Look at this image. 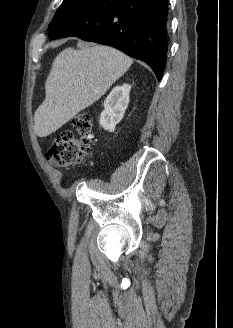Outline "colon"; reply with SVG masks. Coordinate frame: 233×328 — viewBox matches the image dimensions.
Masks as SVG:
<instances>
[{"mask_svg":"<svg viewBox=\"0 0 233 328\" xmlns=\"http://www.w3.org/2000/svg\"><path fill=\"white\" fill-rule=\"evenodd\" d=\"M71 125L73 131H62L52 140L46 152L50 164L56 167H68L89 157L95 146L93 122L88 113L75 116Z\"/></svg>","mask_w":233,"mask_h":328,"instance_id":"5ec220e1","label":"colon"}]
</instances>
